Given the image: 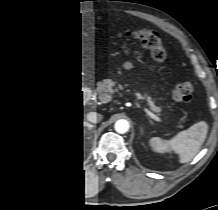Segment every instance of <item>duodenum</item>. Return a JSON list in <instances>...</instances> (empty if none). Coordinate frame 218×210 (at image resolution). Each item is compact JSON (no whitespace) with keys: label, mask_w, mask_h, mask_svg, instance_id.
Here are the masks:
<instances>
[{"label":"duodenum","mask_w":218,"mask_h":210,"mask_svg":"<svg viewBox=\"0 0 218 210\" xmlns=\"http://www.w3.org/2000/svg\"><path fill=\"white\" fill-rule=\"evenodd\" d=\"M89 96L90 91L88 89H82L81 91H79L75 95L71 106L74 109V111H78L79 108L89 99Z\"/></svg>","instance_id":"1"}]
</instances>
